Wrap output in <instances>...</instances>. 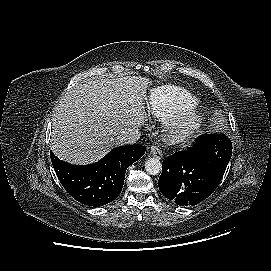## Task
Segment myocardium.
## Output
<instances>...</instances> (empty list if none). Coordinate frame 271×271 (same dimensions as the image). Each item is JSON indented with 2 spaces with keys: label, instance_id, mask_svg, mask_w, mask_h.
Listing matches in <instances>:
<instances>
[{
  "label": "myocardium",
  "instance_id": "obj_1",
  "mask_svg": "<svg viewBox=\"0 0 271 271\" xmlns=\"http://www.w3.org/2000/svg\"><path fill=\"white\" fill-rule=\"evenodd\" d=\"M203 116L196 109L170 116L163 122V140L171 145L191 139L202 122Z\"/></svg>",
  "mask_w": 271,
  "mask_h": 271
}]
</instances>
